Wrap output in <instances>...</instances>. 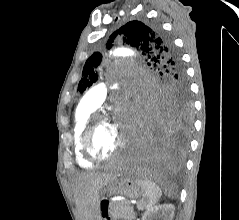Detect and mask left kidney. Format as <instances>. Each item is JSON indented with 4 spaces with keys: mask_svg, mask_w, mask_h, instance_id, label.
Masks as SVG:
<instances>
[{
    "mask_svg": "<svg viewBox=\"0 0 239 220\" xmlns=\"http://www.w3.org/2000/svg\"><path fill=\"white\" fill-rule=\"evenodd\" d=\"M175 207L172 204L153 206L143 214L142 220H173Z\"/></svg>",
    "mask_w": 239,
    "mask_h": 220,
    "instance_id": "obj_1",
    "label": "left kidney"
}]
</instances>
